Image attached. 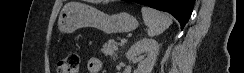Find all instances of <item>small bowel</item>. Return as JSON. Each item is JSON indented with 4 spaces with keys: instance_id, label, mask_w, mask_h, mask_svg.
Instances as JSON below:
<instances>
[{
    "instance_id": "obj_1",
    "label": "small bowel",
    "mask_w": 244,
    "mask_h": 73,
    "mask_svg": "<svg viewBox=\"0 0 244 73\" xmlns=\"http://www.w3.org/2000/svg\"><path fill=\"white\" fill-rule=\"evenodd\" d=\"M102 62L98 58H90L87 62L88 73H100Z\"/></svg>"
}]
</instances>
